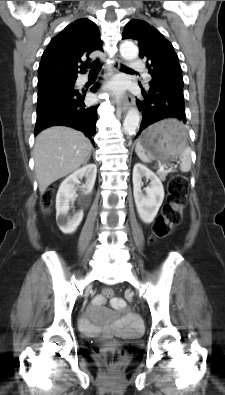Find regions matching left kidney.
<instances>
[{
    "label": "left kidney",
    "mask_w": 225,
    "mask_h": 395,
    "mask_svg": "<svg viewBox=\"0 0 225 395\" xmlns=\"http://www.w3.org/2000/svg\"><path fill=\"white\" fill-rule=\"evenodd\" d=\"M143 177L151 181L145 189L146 195L141 190ZM133 195L141 220L151 223L162 205L164 188L159 177L141 163H136L133 168Z\"/></svg>",
    "instance_id": "left-kidney-1"
}]
</instances>
